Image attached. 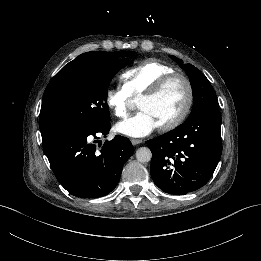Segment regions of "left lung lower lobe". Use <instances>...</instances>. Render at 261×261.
I'll use <instances>...</instances> for the list:
<instances>
[{"instance_id": "0a47b994", "label": "left lung lower lobe", "mask_w": 261, "mask_h": 261, "mask_svg": "<svg viewBox=\"0 0 261 261\" xmlns=\"http://www.w3.org/2000/svg\"><path fill=\"white\" fill-rule=\"evenodd\" d=\"M147 143L154 183L169 194L193 192L207 184L220 159L221 115L203 112Z\"/></svg>"}]
</instances>
